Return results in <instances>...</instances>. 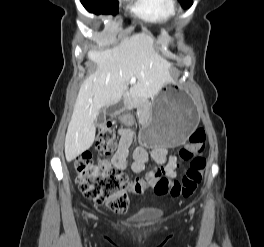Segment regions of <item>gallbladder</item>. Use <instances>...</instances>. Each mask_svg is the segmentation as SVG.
I'll list each match as a JSON object with an SVG mask.
<instances>
[{"instance_id":"obj_1","label":"gallbladder","mask_w":264,"mask_h":247,"mask_svg":"<svg viewBox=\"0 0 264 247\" xmlns=\"http://www.w3.org/2000/svg\"><path fill=\"white\" fill-rule=\"evenodd\" d=\"M97 118H98L96 121L97 126L104 125L106 123L105 122V111H99Z\"/></svg>"}]
</instances>
